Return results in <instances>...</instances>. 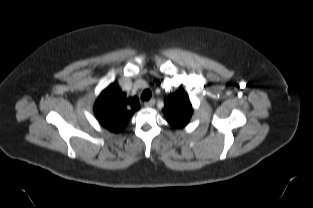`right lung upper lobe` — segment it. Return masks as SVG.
<instances>
[{
	"label": "right lung upper lobe",
	"mask_w": 313,
	"mask_h": 208,
	"mask_svg": "<svg viewBox=\"0 0 313 208\" xmlns=\"http://www.w3.org/2000/svg\"><path fill=\"white\" fill-rule=\"evenodd\" d=\"M138 109L137 97L127 98L117 83H112L102 91L94 105V113L100 124L113 133L124 130Z\"/></svg>",
	"instance_id": "obj_1"
}]
</instances>
